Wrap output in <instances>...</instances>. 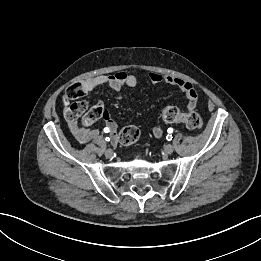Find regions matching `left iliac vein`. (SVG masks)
Listing matches in <instances>:
<instances>
[{"label": "left iliac vein", "instance_id": "obj_1", "mask_svg": "<svg viewBox=\"0 0 261 261\" xmlns=\"http://www.w3.org/2000/svg\"><path fill=\"white\" fill-rule=\"evenodd\" d=\"M164 151L166 154H171L174 151L173 145H171V144L165 145Z\"/></svg>", "mask_w": 261, "mask_h": 261}]
</instances>
